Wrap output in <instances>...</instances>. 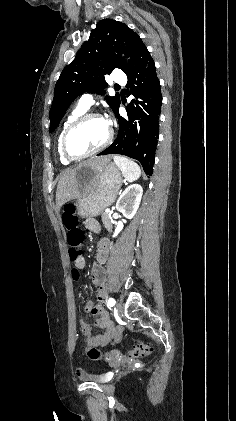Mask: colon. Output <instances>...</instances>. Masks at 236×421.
Segmentation results:
<instances>
[{
	"instance_id": "obj_1",
	"label": "colon",
	"mask_w": 236,
	"mask_h": 421,
	"mask_svg": "<svg viewBox=\"0 0 236 421\" xmlns=\"http://www.w3.org/2000/svg\"><path fill=\"white\" fill-rule=\"evenodd\" d=\"M63 226L67 230V242L69 245V255L72 261L78 262L82 256L81 246L84 241V233L79 228V221L76 215L74 204H66L61 214ZM80 270L73 269L72 275L74 279L80 277ZM153 346L149 343H138L131 351L128 352L130 358L145 357L152 353ZM86 354L91 360H100L106 356L105 353L94 347L86 348Z\"/></svg>"
}]
</instances>
